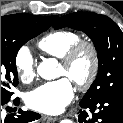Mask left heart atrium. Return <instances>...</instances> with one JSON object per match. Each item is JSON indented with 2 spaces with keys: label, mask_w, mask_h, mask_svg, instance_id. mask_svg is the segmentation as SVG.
I'll return each instance as SVG.
<instances>
[{
  "label": "left heart atrium",
  "mask_w": 123,
  "mask_h": 123,
  "mask_svg": "<svg viewBox=\"0 0 123 123\" xmlns=\"http://www.w3.org/2000/svg\"><path fill=\"white\" fill-rule=\"evenodd\" d=\"M74 89L68 78L44 83L27 93L25 102L33 110L56 114L72 101Z\"/></svg>",
  "instance_id": "obj_1"
}]
</instances>
